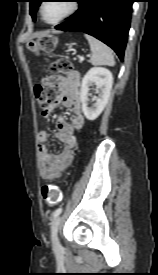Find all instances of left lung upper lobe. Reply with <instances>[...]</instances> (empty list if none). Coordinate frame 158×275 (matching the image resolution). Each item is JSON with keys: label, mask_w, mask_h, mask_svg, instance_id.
Listing matches in <instances>:
<instances>
[{"label": "left lung upper lobe", "mask_w": 158, "mask_h": 275, "mask_svg": "<svg viewBox=\"0 0 158 275\" xmlns=\"http://www.w3.org/2000/svg\"><path fill=\"white\" fill-rule=\"evenodd\" d=\"M30 1V14L33 18V20L35 21V12L38 9L40 3L42 2V0H29Z\"/></svg>", "instance_id": "left-lung-upper-lobe-1"}]
</instances>
